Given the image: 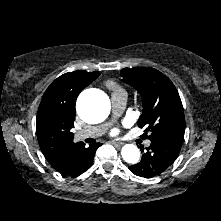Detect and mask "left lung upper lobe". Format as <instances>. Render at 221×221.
Listing matches in <instances>:
<instances>
[{
  "label": "left lung upper lobe",
  "instance_id": "5c2ea615",
  "mask_svg": "<svg viewBox=\"0 0 221 221\" xmlns=\"http://www.w3.org/2000/svg\"><path fill=\"white\" fill-rule=\"evenodd\" d=\"M122 81L132 85L141 94L143 113L138 126H146L145 138H164L183 142L185 116L178 91L171 80L151 67L124 68Z\"/></svg>",
  "mask_w": 221,
  "mask_h": 221
}]
</instances>
